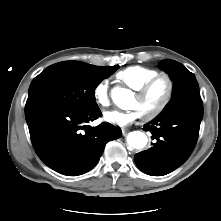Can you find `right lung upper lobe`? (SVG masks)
Listing matches in <instances>:
<instances>
[{"label":"right lung upper lobe","instance_id":"right-lung-upper-lobe-1","mask_svg":"<svg viewBox=\"0 0 221 221\" xmlns=\"http://www.w3.org/2000/svg\"><path fill=\"white\" fill-rule=\"evenodd\" d=\"M77 62H79V61H77ZM80 63H82V64H86V65H90V64H87V63H83V62H80Z\"/></svg>","mask_w":221,"mask_h":221}]
</instances>
